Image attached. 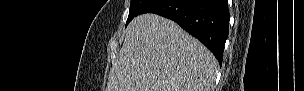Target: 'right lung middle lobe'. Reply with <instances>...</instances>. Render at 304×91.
I'll list each match as a JSON object with an SVG mask.
<instances>
[{"label":"right lung middle lobe","instance_id":"1","mask_svg":"<svg viewBox=\"0 0 304 91\" xmlns=\"http://www.w3.org/2000/svg\"><path fill=\"white\" fill-rule=\"evenodd\" d=\"M150 0H131L130 10H129V16L127 19L126 26L128 23L136 16H138L141 12V10L144 8V6L149 2Z\"/></svg>","mask_w":304,"mask_h":91}]
</instances>
